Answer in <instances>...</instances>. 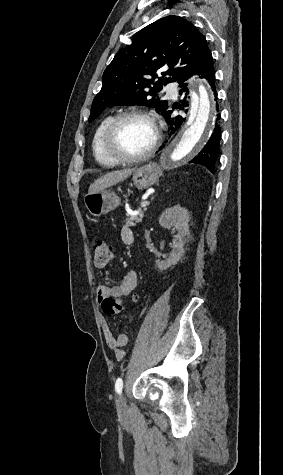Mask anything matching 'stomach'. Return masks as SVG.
<instances>
[{
    "label": "stomach",
    "mask_w": 283,
    "mask_h": 475,
    "mask_svg": "<svg viewBox=\"0 0 283 475\" xmlns=\"http://www.w3.org/2000/svg\"><path fill=\"white\" fill-rule=\"evenodd\" d=\"M160 176H162V172L158 164L150 162V164H145L141 168H135L132 180L138 190H145V188L156 184ZM84 204L92 216H102V214H108L111 210L118 208L120 198L111 190H102L98 194H86Z\"/></svg>",
    "instance_id": "obj_1"
}]
</instances>
